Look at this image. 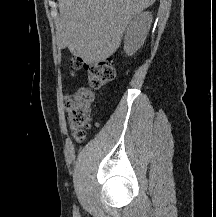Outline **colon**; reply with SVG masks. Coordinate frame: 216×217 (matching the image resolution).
<instances>
[{"instance_id":"obj_1","label":"colon","mask_w":216,"mask_h":217,"mask_svg":"<svg viewBox=\"0 0 216 217\" xmlns=\"http://www.w3.org/2000/svg\"><path fill=\"white\" fill-rule=\"evenodd\" d=\"M79 67V62L75 61L73 68ZM114 77L115 68L110 60L96 62L88 68V85L81 86L73 94L68 121L77 142L85 138V131L91 125V107L95 100V91L105 86Z\"/></svg>"}]
</instances>
